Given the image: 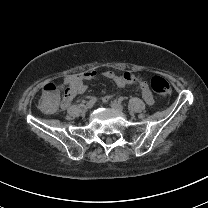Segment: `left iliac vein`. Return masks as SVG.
<instances>
[{
  "label": "left iliac vein",
  "instance_id": "4c4485c4",
  "mask_svg": "<svg viewBox=\"0 0 208 208\" xmlns=\"http://www.w3.org/2000/svg\"><path fill=\"white\" fill-rule=\"evenodd\" d=\"M110 106L112 108L117 109V110H120V111H122L124 109L123 105L120 102H118V101H112L110 103Z\"/></svg>",
  "mask_w": 208,
  "mask_h": 208
}]
</instances>
